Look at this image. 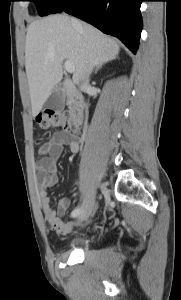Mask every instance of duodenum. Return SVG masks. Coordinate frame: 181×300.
Segmentation results:
<instances>
[{"label": "duodenum", "instance_id": "410a0bca", "mask_svg": "<svg viewBox=\"0 0 181 300\" xmlns=\"http://www.w3.org/2000/svg\"><path fill=\"white\" fill-rule=\"evenodd\" d=\"M69 108L73 124L76 126L82 125L86 117L87 105L79 93L75 92L71 96Z\"/></svg>", "mask_w": 181, "mask_h": 300}]
</instances>
